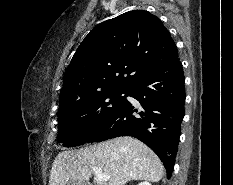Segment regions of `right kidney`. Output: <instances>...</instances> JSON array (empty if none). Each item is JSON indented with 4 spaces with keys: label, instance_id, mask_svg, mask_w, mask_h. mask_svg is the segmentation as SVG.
Here are the masks:
<instances>
[{
    "label": "right kidney",
    "instance_id": "ca27d5eb",
    "mask_svg": "<svg viewBox=\"0 0 233 185\" xmlns=\"http://www.w3.org/2000/svg\"><path fill=\"white\" fill-rule=\"evenodd\" d=\"M138 185H151L149 182L145 181V182H141Z\"/></svg>",
    "mask_w": 233,
    "mask_h": 185
}]
</instances>
